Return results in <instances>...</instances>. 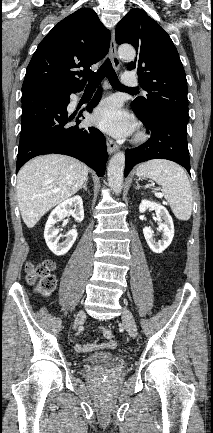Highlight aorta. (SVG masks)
Listing matches in <instances>:
<instances>
[{"label":"aorta","instance_id":"762f6f07","mask_svg":"<svg viewBox=\"0 0 213 433\" xmlns=\"http://www.w3.org/2000/svg\"><path fill=\"white\" fill-rule=\"evenodd\" d=\"M118 55L123 60H133L136 52L132 46L122 45L118 49ZM125 168V155L123 152L116 153L108 165V183L115 194H120L123 188V175Z\"/></svg>","mask_w":213,"mask_h":433}]
</instances>
